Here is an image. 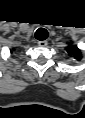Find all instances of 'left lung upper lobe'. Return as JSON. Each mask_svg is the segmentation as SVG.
I'll return each mask as SVG.
<instances>
[{
    "mask_svg": "<svg viewBox=\"0 0 85 118\" xmlns=\"http://www.w3.org/2000/svg\"><path fill=\"white\" fill-rule=\"evenodd\" d=\"M67 51L70 53V52L72 51V49L69 47V48L67 49Z\"/></svg>",
    "mask_w": 85,
    "mask_h": 118,
    "instance_id": "obj_1",
    "label": "left lung upper lobe"
}]
</instances>
